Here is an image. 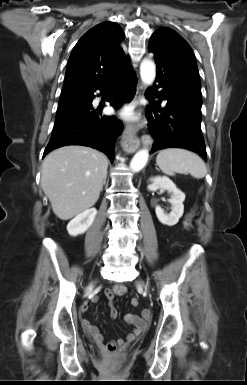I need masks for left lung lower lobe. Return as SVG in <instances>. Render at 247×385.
<instances>
[{"mask_svg": "<svg viewBox=\"0 0 247 385\" xmlns=\"http://www.w3.org/2000/svg\"><path fill=\"white\" fill-rule=\"evenodd\" d=\"M157 65L156 82L145 96L151 134L155 140L152 153L170 147L184 148L200 154L206 161V148L201 132V86L177 65L154 42L149 41ZM159 101L167 100L164 108Z\"/></svg>", "mask_w": 247, "mask_h": 385, "instance_id": "0a47b994", "label": "left lung lower lobe"}]
</instances>
